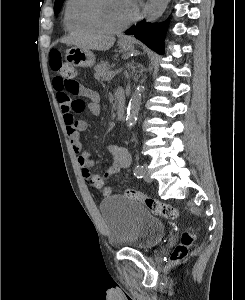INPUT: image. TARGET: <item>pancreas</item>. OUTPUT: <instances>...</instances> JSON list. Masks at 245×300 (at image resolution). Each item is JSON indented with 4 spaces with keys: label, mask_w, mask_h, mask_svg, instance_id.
Masks as SVG:
<instances>
[{
    "label": "pancreas",
    "mask_w": 245,
    "mask_h": 300,
    "mask_svg": "<svg viewBox=\"0 0 245 300\" xmlns=\"http://www.w3.org/2000/svg\"><path fill=\"white\" fill-rule=\"evenodd\" d=\"M95 74L94 77L97 80H107L108 79V75L110 73L109 71V63L108 62H101L99 63L95 68Z\"/></svg>",
    "instance_id": "1"
}]
</instances>
